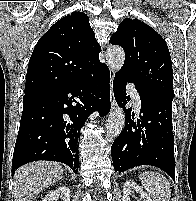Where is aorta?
<instances>
[{"mask_svg":"<svg viewBox=\"0 0 196 201\" xmlns=\"http://www.w3.org/2000/svg\"><path fill=\"white\" fill-rule=\"evenodd\" d=\"M107 65L114 72L120 71L125 61V53L120 46H111L106 53ZM125 124V113L122 108L112 110L106 120V134L110 138H116Z\"/></svg>","mask_w":196,"mask_h":201,"instance_id":"obj_1","label":"aorta"}]
</instances>
